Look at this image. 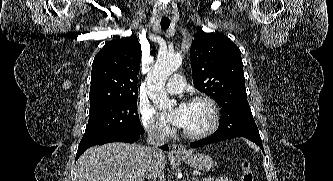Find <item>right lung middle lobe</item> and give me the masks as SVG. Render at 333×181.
<instances>
[{"label":"right lung middle lobe","mask_w":333,"mask_h":181,"mask_svg":"<svg viewBox=\"0 0 333 181\" xmlns=\"http://www.w3.org/2000/svg\"><path fill=\"white\" fill-rule=\"evenodd\" d=\"M136 106L137 98H132L91 107L89 122L80 143L142 134L144 129L136 115Z\"/></svg>","instance_id":"obj_1"}]
</instances>
